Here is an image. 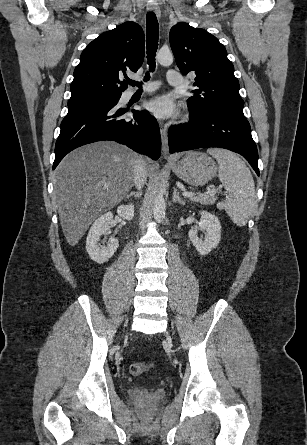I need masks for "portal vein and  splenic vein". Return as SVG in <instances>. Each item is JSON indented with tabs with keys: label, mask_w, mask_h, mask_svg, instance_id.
<instances>
[{
	"label": "portal vein and splenic vein",
	"mask_w": 307,
	"mask_h": 445,
	"mask_svg": "<svg viewBox=\"0 0 307 445\" xmlns=\"http://www.w3.org/2000/svg\"><path fill=\"white\" fill-rule=\"evenodd\" d=\"M211 188V190H210ZM208 192H216L215 186H207ZM184 196H194V194H188V192H183Z\"/></svg>",
	"instance_id": "obj_1"
}]
</instances>
